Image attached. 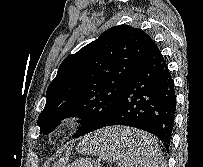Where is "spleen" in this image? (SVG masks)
Returning a JSON list of instances; mask_svg holds the SVG:
<instances>
[{
  "instance_id": "obj_1",
  "label": "spleen",
  "mask_w": 203,
  "mask_h": 167,
  "mask_svg": "<svg viewBox=\"0 0 203 167\" xmlns=\"http://www.w3.org/2000/svg\"><path fill=\"white\" fill-rule=\"evenodd\" d=\"M104 138L94 134L84 150L101 156L104 160L115 161L120 167H164L162 165L163 156L157 143L148 137L144 139L135 151L128 149L125 144L122 148H109L103 146Z\"/></svg>"
}]
</instances>
